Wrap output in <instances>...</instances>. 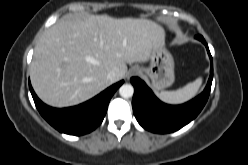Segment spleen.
Here are the masks:
<instances>
[{"label": "spleen", "mask_w": 248, "mask_h": 165, "mask_svg": "<svg viewBox=\"0 0 248 165\" xmlns=\"http://www.w3.org/2000/svg\"><path fill=\"white\" fill-rule=\"evenodd\" d=\"M201 84L202 78L199 77L195 81L188 83L181 89H178L176 91L156 92V95L166 103L181 104L193 98L197 94Z\"/></svg>", "instance_id": "1"}]
</instances>
